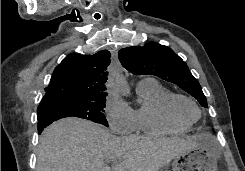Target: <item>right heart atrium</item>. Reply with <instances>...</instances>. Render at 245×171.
Segmentation results:
<instances>
[{
	"label": "right heart atrium",
	"mask_w": 245,
	"mask_h": 171,
	"mask_svg": "<svg viewBox=\"0 0 245 171\" xmlns=\"http://www.w3.org/2000/svg\"><path fill=\"white\" fill-rule=\"evenodd\" d=\"M110 129L118 134H130L136 130L133 110L114 91H109L104 106Z\"/></svg>",
	"instance_id": "right-heart-atrium-1"
}]
</instances>
